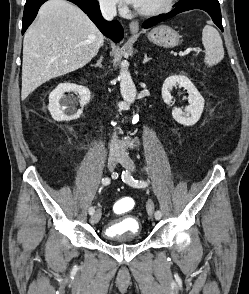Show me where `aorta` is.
I'll use <instances>...</instances> for the list:
<instances>
[{"instance_id":"obj_1","label":"aorta","mask_w":249,"mask_h":294,"mask_svg":"<svg viewBox=\"0 0 249 294\" xmlns=\"http://www.w3.org/2000/svg\"><path fill=\"white\" fill-rule=\"evenodd\" d=\"M118 79L120 81V92L123 99L128 103H133L136 98V87L125 62L121 63Z\"/></svg>"}]
</instances>
